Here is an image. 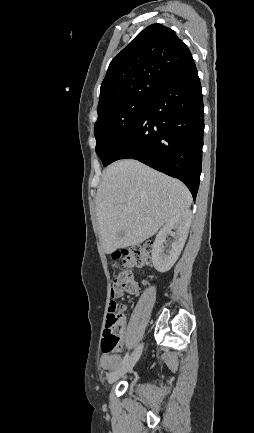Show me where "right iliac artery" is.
<instances>
[{"instance_id": "obj_1", "label": "right iliac artery", "mask_w": 254, "mask_h": 433, "mask_svg": "<svg viewBox=\"0 0 254 433\" xmlns=\"http://www.w3.org/2000/svg\"><path fill=\"white\" fill-rule=\"evenodd\" d=\"M128 358H129V353H126V355L124 356V358L121 362V365H123L128 360Z\"/></svg>"}]
</instances>
